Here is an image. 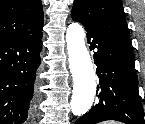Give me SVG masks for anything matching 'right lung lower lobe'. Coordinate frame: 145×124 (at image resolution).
<instances>
[{"label":"right lung lower lobe","instance_id":"1","mask_svg":"<svg viewBox=\"0 0 145 124\" xmlns=\"http://www.w3.org/2000/svg\"><path fill=\"white\" fill-rule=\"evenodd\" d=\"M42 32L0 40V123L23 124L35 111Z\"/></svg>","mask_w":145,"mask_h":124}]
</instances>
